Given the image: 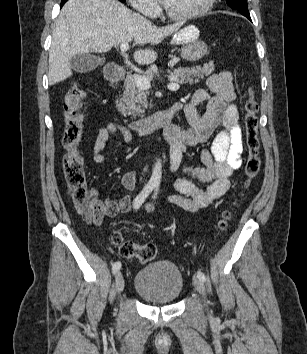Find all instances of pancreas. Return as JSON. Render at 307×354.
Masks as SVG:
<instances>
[{
	"label": "pancreas",
	"mask_w": 307,
	"mask_h": 354,
	"mask_svg": "<svg viewBox=\"0 0 307 354\" xmlns=\"http://www.w3.org/2000/svg\"><path fill=\"white\" fill-rule=\"evenodd\" d=\"M156 66H151L147 71L142 73L143 77L152 79L156 72ZM214 71V68L210 64L197 67H179L172 71H168L169 79L172 82L182 83H199L200 79L204 76L210 75ZM135 75H129L125 79V90L120 99V103L117 105L120 112L124 115H132L133 117L144 115V109L147 108L148 91L140 89L134 80Z\"/></svg>",
	"instance_id": "1"
}]
</instances>
